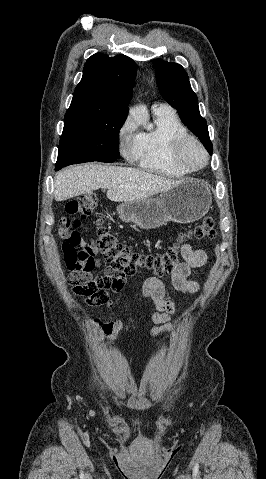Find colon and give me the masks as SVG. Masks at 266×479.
<instances>
[{
  "mask_svg": "<svg viewBox=\"0 0 266 479\" xmlns=\"http://www.w3.org/2000/svg\"><path fill=\"white\" fill-rule=\"evenodd\" d=\"M97 199L93 194H85L70 199L65 206L66 215L59 221V233L65 238L62 252L74 292L86 298L90 305L98 306L106 302L109 293L120 291L124 285L122 277L132 276L141 270L151 271L156 276L171 274L180 264L179 243L170 246L160 255H144L132 251L118 240L114 233L105 227L100 228L96 248L103 255L111 270L118 275H98L91 278L95 267V249L86 244L80 231L88 229L86 220L95 210ZM214 220L204 218L189 236L197 240H211L216 236ZM186 235L179 237L181 242Z\"/></svg>",
  "mask_w": 266,
  "mask_h": 479,
  "instance_id": "5ec220e1",
  "label": "colon"
}]
</instances>
